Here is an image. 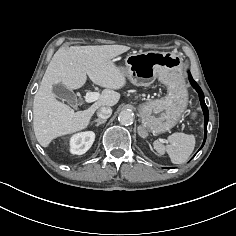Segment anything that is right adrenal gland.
<instances>
[{
    "label": "right adrenal gland",
    "instance_id": "right-adrenal-gland-1",
    "mask_svg": "<svg viewBox=\"0 0 236 236\" xmlns=\"http://www.w3.org/2000/svg\"><path fill=\"white\" fill-rule=\"evenodd\" d=\"M106 119H96L94 120V122H96V126L98 127L99 125L103 124V123H106Z\"/></svg>",
    "mask_w": 236,
    "mask_h": 236
}]
</instances>
